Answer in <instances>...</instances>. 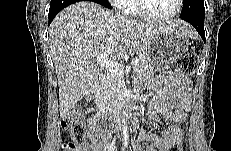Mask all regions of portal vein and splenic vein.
<instances>
[{
    "mask_svg": "<svg viewBox=\"0 0 231 151\" xmlns=\"http://www.w3.org/2000/svg\"><path fill=\"white\" fill-rule=\"evenodd\" d=\"M106 56H107L106 52L98 53L96 54L95 60L100 66L105 67L106 70H108L109 72L118 74V75L122 74L123 66L117 62L107 59ZM138 62H139V58H134L131 61V64L137 65Z\"/></svg>",
    "mask_w": 231,
    "mask_h": 151,
    "instance_id": "1",
    "label": "portal vein and splenic vein"
}]
</instances>
